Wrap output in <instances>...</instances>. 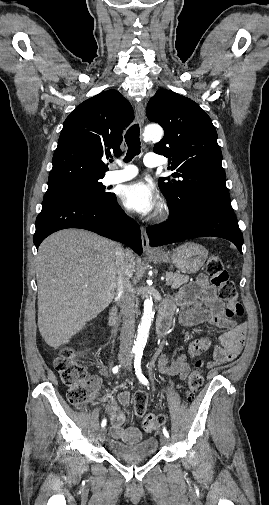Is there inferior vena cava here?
Listing matches in <instances>:
<instances>
[{
    "instance_id": "inferior-vena-cava-1",
    "label": "inferior vena cava",
    "mask_w": 269,
    "mask_h": 505,
    "mask_svg": "<svg viewBox=\"0 0 269 505\" xmlns=\"http://www.w3.org/2000/svg\"><path fill=\"white\" fill-rule=\"evenodd\" d=\"M117 267L116 288L120 296V307L123 316L120 335V349L130 352L135 331V298L126 271V252L121 245L115 251Z\"/></svg>"
}]
</instances>
